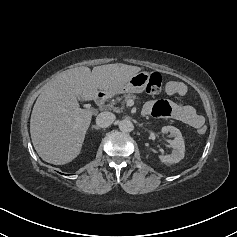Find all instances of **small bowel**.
I'll return each instance as SVG.
<instances>
[{"label":"small bowel","mask_w":237,"mask_h":237,"mask_svg":"<svg viewBox=\"0 0 237 237\" xmlns=\"http://www.w3.org/2000/svg\"><path fill=\"white\" fill-rule=\"evenodd\" d=\"M165 92L168 95L184 96L187 93V87L183 82L169 81L166 84ZM143 114L154 117H172L196 129L204 125L203 116L193 106L171 103L165 100L147 102Z\"/></svg>","instance_id":"obj_1"}]
</instances>
